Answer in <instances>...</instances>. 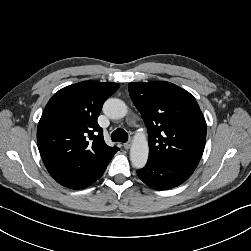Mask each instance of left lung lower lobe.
<instances>
[{"instance_id":"1","label":"left lung lower lobe","mask_w":251,"mask_h":251,"mask_svg":"<svg viewBox=\"0 0 251 251\" xmlns=\"http://www.w3.org/2000/svg\"><path fill=\"white\" fill-rule=\"evenodd\" d=\"M195 168L168 161L149 160L146 167L137 171L138 177L156 190L174 188L185 182Z\"/></svg>"}]
</instances>
